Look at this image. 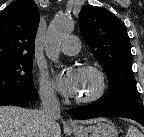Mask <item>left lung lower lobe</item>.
Listing matches in <instances>:
<instances>
[{"label": "left lung lower lobe", "mask_w": 144, "mask_h": 137, "mask_svg": "<svg viewBox=\"0 0 144 137\" xmlns=\"http://www.w3.org/2000/svg\"><path fill=\"white\" fill-rule=\"evenodd\" d=\"M74 119H90L96 117H124L133 119L144 126V107L139 102L105 103L101 99L94 104L69 111Z\"/></svg>", "instance_id": "0a47b994"}]
</instances>
